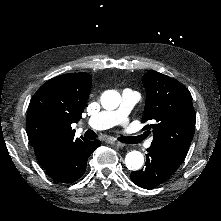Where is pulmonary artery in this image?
Instances as JSON below:
<instances>
[{"label":"pulmonary artery","mask_w":221,"mask_h":221,"mask_svg":"<svg viewBox=\"0 0 221 221\" xmlns=\"http://www.w3.org/2000/svg\"><path fill=\"white\" fill-rule=\"evenodd\" d=\"M139 104V95L135 91H126L122 95V103L118 109L110 112L92 114L88 118V127L92 131H102L112 129L114 126H121L125 119H131L135 115V107ZM83 126V123H80Z\"/></svg>","instance_id":"obj_1"}]
</instances>
